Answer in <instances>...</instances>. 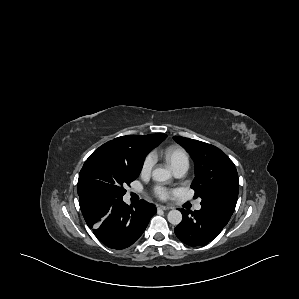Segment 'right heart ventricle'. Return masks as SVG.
I'll use <instances>...</instances> for the list:
<instances>
[{
	"label": "right heart ventricle",
	"instance_id": "e07e8e85",
	"mask_svg": "<svg viewBox=\"0 0 299 299\" xmlns=\"http://www.w3.org/2000/svg\"><path fill=\"white\" fill-rule=\"evenodd\" d=\"M164 158L166 162L170 165V167L174 170L179 166H187L189 165V156L187 152L178 146H170L165 149Z\"/></svg>",
	"mask_w": 299,
	"mask_h": 299
}]
</instances>
